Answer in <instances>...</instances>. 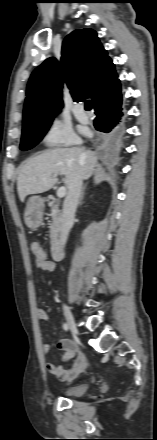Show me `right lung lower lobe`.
Returning a JSON list of instances; mask_svg holds the SVG:
<instances>
[{
  "label": "right lung lower lobe",
  "mask_w": 157,
  "mask_h": 440,
  "mask_svg": "<svg viewBox=\"0 0 157 440\" xmlns=\"http://www.w3.org/2000/svg\"><path fill=\"white\" fill-rule=\"evenodd\" d=\"M95 114L94 126L98 131L107 133L106 137L108 138L119 136L122 132L124 122L121 93L104 101V103L95 110Z\"/></svg>",
  "instance_id": "obj_1"
}]
</instances>
